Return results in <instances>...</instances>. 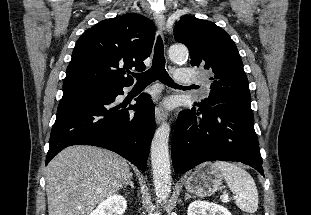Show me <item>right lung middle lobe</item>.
Here are the masks:
<instances>
[{"instance_id":"right-lung-middle-lobe-1","label":"right lung middle lobe","mask_w":311,"mask_h":215,"mask_svg":"<svg viewBox=\"0 0 311 215\" xmlns=\"http://www.w3.org/2000/svg\"><path fill=\"white\" fill-rule=\"evenodd\" d=\"M95 84H71L63 86V94L68 92H89L94 90Z\"/></svg>"}]
</instances>
